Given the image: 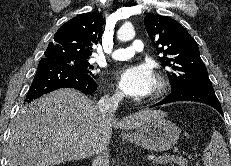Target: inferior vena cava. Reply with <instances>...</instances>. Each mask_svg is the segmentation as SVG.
<instances>
[{
    "label": "inferior vena cava",
    "instance_id": "602c4592",
    "mask_svg": "<svg viewBox=\"0 0 231 166\" xmlns=\"http://www.w3.org/2000/svg\"><path fill=\"white\" fill-rule=\"evenodd\" d=\"M120 101V95L115 94L113 96H104L98 102V108L104 115H114L118 103ZM92 166H109V155L108 150L104 149L93 160Z\"/></svg>",
    "mask_w": 231,
    "mask_h": 166
}]
</instances>
